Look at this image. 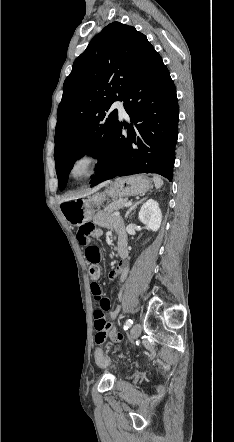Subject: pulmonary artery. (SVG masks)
<instances>
[{"label":"pulmonary artery","instance_id":"e3ab8cb5","mask_svg":"<svg viewBox=\"0 0 234 442\" xmlns=\"http://www.w3.org/2000/svg\"><path fill=\"white\" fill-rule=\"evenodd\" d=\"M112 107L118 110L121 117H125L127 115L125 108H124L123 101H121V100L115 101L113 103Z\"/></svg>","mask_w":234,"mask_h":442}]
</instances>
